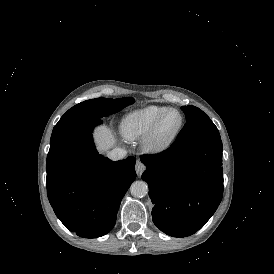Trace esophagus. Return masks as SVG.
<instances>
[{
  "label": "esophagus",
  "mask_w": 274,
  "mask_h": 274,
  "mask_svg": "<svg viewBox=\"0 0 274 274\" xmlns=\"http://www.w3.org/2000/svg\"><path fill=\"white\" fill-rule=\"evenodd\" d=\"M135 169L138 176H141L142 173L145 171L146 167L140 161H137L135 164Z\"/></svg>",
  "instance_id": "1"
}]
</instances>
